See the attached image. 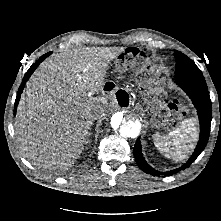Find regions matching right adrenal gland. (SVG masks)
<instances>
[{"instance_id": "right-adrenal-gland-1", "label": "right adrenal gland", "mask_w": 221, "mask_h": 221, "mask_svg": "<svg viewBox=\"0 0 221 221\" xmlns=\"http://www.w3.org/2000/svg\"><path fill=\"white\" fill-rule=\"evenodd\" d=\"M91 135V133L89 132V136ZM89 136H88V138H89ZM88 143V142H87Z\"/></svg>"}]
</instances>
